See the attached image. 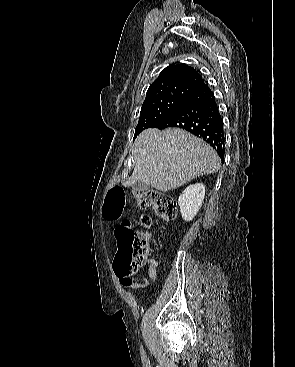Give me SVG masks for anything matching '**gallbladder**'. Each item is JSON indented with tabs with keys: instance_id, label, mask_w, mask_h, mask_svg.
Returning <instances> with one entry per match:
<instances>
[{
	"instance_id": "gallbladder-1",
	"label": "gallbladder",
	"mask_w": 295,
	"mask_h": 367,
	"mask_svg": "<svg viewBox=\"0 0 295 367\" xmlns=\"http://www.w3.org/2000/svg\"><path fill=\"white\" fill-rule=\"evenodd\" d=\"M150 186L144 182L138 181L134 184L133 190L134 192H142L149 190Z\"/></svg>"
}]
</instances>
